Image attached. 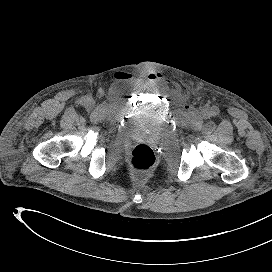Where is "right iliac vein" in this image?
<instances>
[{"label": "right iliac vein", "mask_w": 272, "mask_h": 272, "mask_svg": "<svg viewBox=\"0 0 272 272\" xmlns=\"http://www.w3.org/2000/svg\"><path fill=\"white\" fill-rule=\"evenodd\" d=\"M87 105L89 106V107H93V105H94V101H93V99H87Z\"/></svg>", "instance_id": "63e3f726"}]
</instances>
